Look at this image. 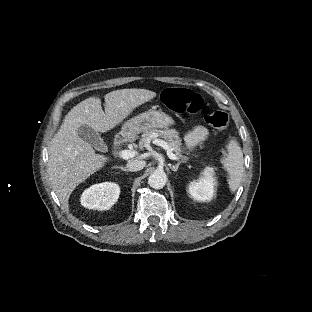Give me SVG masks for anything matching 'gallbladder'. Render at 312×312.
Masks as SVG:
<instances>
[{
	"mask_svg": "<svg viewBox=\"0 0 312 312\" xmlns=\"http://www.w3.org/2000/svg\"><path fill=\"white\" fill-rule=\"evenodd\" d=\"M77 133L83 141L92 145L96 150L101 152L108 151V147L101 139L100 134L93 128L87 125H82L78 128Z\"/></svg>",
	"mask_w": 312,
	"mask_h": 312,
	"instance_id": "1",
	"label": "gallbladder"
}]
</instances>
